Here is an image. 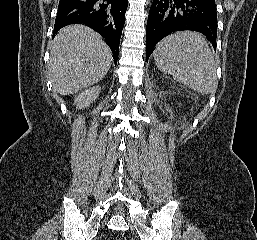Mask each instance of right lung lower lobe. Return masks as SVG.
Returning <instances> with one entry per match:
<instances>
[{"mask_svg":"<svg viewBox=\"0 0 257 240\" xmlns=\"http://www.w3.org/2000/svg\"><path fill=\"white\" fill-rule=\"evenodd\" d=\"M128 0H60L53 35L70 24H84L106 39L115 64Z\"/></svg>","mask_w":257,"mask_h":240,"instance_id":"right-lung-lower-lobe-1","label":"right lung lower lobe"}]
</instances>
